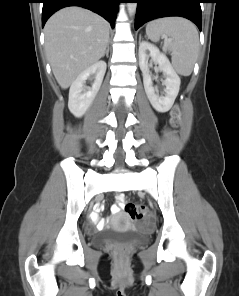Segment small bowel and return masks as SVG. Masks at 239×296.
<instances>
[{"mask_svg": "<svg viewBox=\"0 0 239 296\" xmlns=\"http://www.w3.org/2000/svg\"><path fill=\"white\" fill-rule=\"evenodd\" d=\"M122 200H123V196H119L118 197V204L113 205V207L111 209L113 214H117V213L120 212V208H121V204L120 203H121ZM92 220H93V222H95L97 224L100 223V220H99V217H98V214L97 213H93L92 214Z\"/></svg>", "mask_w": 239, "mask_h": 296, "instance_id": "c3829d8e", "label": "small bowel"}]
</instances>
